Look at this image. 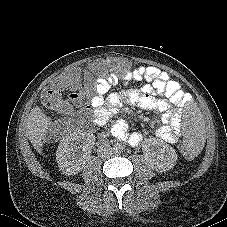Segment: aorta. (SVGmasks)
<instances>
[{"label": "aorta", "mask_w": 227, "mask_h": 227, "mask_svg": "<svg viewBox=\"0 0 227 227\" xmlns=\"http://www.w3.org/2000/svg\"><path fill=\"white\" fill-rule=\"evenodd\" d=\"M113 149H114V152L119 153L122 151L123 148L120 144H115Z\"/></svg>", "instance_id": "aorta-1"}]
</instances>
